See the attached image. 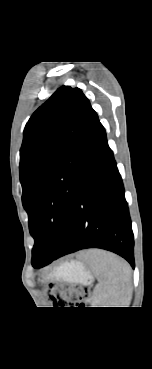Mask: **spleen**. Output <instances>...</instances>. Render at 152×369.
<instances>
[{"label":"spleen","instance_id":"3e777b00","mask_svg":"<svg viewBox=\"0 0 152 369\" xmlns=\"http://www.w3.org/2000/svg\"><path fill=\"white\" fill-rule=\"evenodd\" d=\"M99 277L93 304L99 307H128L132 295L131 269L115 254L91 250L87 257Z\"/></svg>","mask_w":152,"mask_h":369}]
</instances>
